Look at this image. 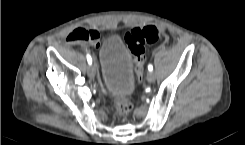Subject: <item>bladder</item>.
I'll list each match as a JSON object with an SVG mask.
<instances>
[{
	"mask_svg": "<svg viewBox=\"0 0 245 145\" xmlns=\"http://www.w3.org/2000/svg\"><path fill=\"white\" fill-rule=\"evenodd\" d=\"M100 72L106 90L114 96H127L133 92L132 55L120 36L112 35L103 42Z\"/></svg>",
	"mask_w": 245,
	"mask_h": 145,
	"instance_id": "1",
	"label": "bladder"
}]
</instances>
